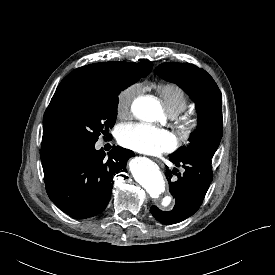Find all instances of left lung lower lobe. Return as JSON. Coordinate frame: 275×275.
Masks as SVG:
<instances>
[{"label": "left lung lower lobe", "instance_id": "0a47b994", "mask_svg": "<svg viewBox=\"0 0 275 275\" xmlns=\"http://www.w3.org/2000/svg\"><path fill=\"white\" fill-rule=\"evenodd\" d=\"M170 161L177 167L182 165L183 173H177L166 167V178L169 182V191L175 198V206L171 211H161L152 206L150 212L156 220L163 224H174L193 215L200 207L213 178L211 158L206 156H192L187 158H174ZM172 175L177 178L173 179Z\"/></svg>", "mask_w": 275, "mask_h": 275}]
</instances>
